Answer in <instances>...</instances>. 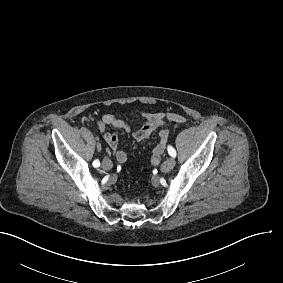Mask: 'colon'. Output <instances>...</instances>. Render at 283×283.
Masks as SVG:
<instances>
[{
	"label": "colon",
	"instance_id": "obj_1",
	"mask_svg": "<svg viewBox=\"0 0 283 283\" xmlns=\"http://www.w3.org/2000/svg\"><path fill=\"white\" fill-rule=\"evenodd\" d=\"M167 141V132L165 130H160L158 132L156 146L153 148L150 157V163L152 165V169L155 170L156 166L160 163L162 156L165 152V142Z\"/></svg>",
	"mask_w": 283,
	"mask_h": 283
}]
</instances>
